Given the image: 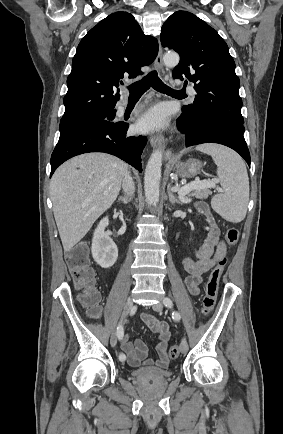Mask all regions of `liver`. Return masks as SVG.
<instances>
[{
    "mask_svg": "<svg viewBox=\"0 0 283 434\" xmlns=\"http://www.w3.org/2000/svg\"><path fill=\"white\" fill-rule=\"evenodd\" d=\"M126 163L105 153H86L53 174L50 197L65 252L70 251L116 200Z\"/></svg>",
    "mask_w": 283,
    "mask_h": 434,
    "instance_id": "1",
    "label": "liver"
}]
</instances>
